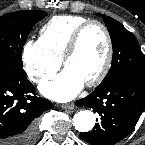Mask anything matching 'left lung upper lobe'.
Wrapping results in <instances>:
<instances>
[{"label":"left lung upper lobe","mask_w":145,"mask_h":145,"mask_svg":"<svg viewBox=\"0 0 145 145\" xmlns=\"http://www.w3.org/2000/svg\"><path fill=\"white\" fill-rule=\"evenodd\" d=\"M104 21L113 45V60L110 71L98 87L122 76L145 79V61L133 33L111 17L104 16Z\"/></svg>","instance_id":"left-lung-upper-lobe-1"}]
</instances>
